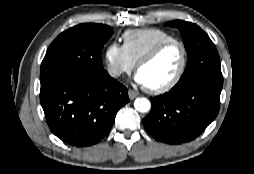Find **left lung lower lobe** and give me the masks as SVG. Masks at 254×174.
Returning <instances> with one entry per match:
<instances>
[{"mask_svg":"<svg viewBox=\"0 0 254 174\" xmlns=\"http://www.w3.org/2000/svg\"><path fill=\"white\" fill-rule=\"evenodd\" d=\"M222 86V76L176 84L170 92L150 99L151 111L143 119L145 129L157 141L168 144L195 139L216 118Z\"/></svg>","mask_w":254,"mask_h":174,"instance_id":"obj_1","label":"left lung lower lobe"}]
</instances>
